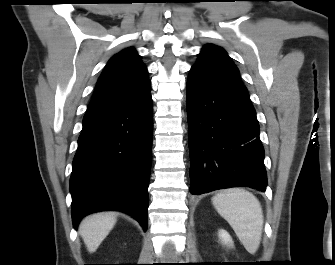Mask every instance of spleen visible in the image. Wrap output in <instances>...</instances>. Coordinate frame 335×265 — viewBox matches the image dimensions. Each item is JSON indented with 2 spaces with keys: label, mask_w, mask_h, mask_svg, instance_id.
I'll return each mask as SVG.
<instances>
[{
  "label": "spleen",
  "mask_w": 335,
  "mask_h": 265,
  "mask_svg": "<svg viewBox=\"0 0 335 265\" xmlns=\"http://www.w3.org/2000/svg\"><path fill=\"white\" fill-rule=\"evenodd\" d=\"M212 203L233 228L245 249L254 254L261 242L264 222L259 200L245 189L230 188L213 196Z\"/></svg>",
  "instance_id": "3e777b00"
}]
</instances>
